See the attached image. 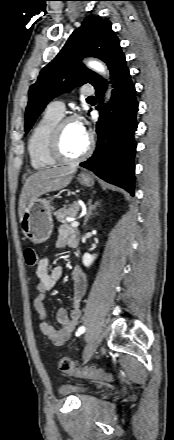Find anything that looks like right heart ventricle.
I'll list each match as a JSON object with an SVG mask.
<instances>
[{"mask_svg":"<svg viewBox=\"0 0 174 440\" xmlns=\"http://www.w3.org/2000/svg\"><path fill=\"white\" fill-rule=\"evenodd\" d=\"M61 119L47 110L33 127L28 138L30 164L35 170L55 167L58 163L50 156L49 142L55 124Z\"/></svg>","mask_w":174,"mask_h":440,"instance_id":"e07e8e85","label":"right heart ventricle"}]
</instances>
